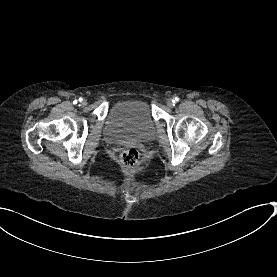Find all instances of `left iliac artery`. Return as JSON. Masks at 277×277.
<instances>
[{
	"label": "left iliac artery",
	"mask_w": 277,
	"mask_h": 277,
	"mask_svg": "<svg viewBox=\"0 0 277 277\" xmlns=\"http://www.w3.org/2000/svg\"><path fill=\"white\" fill-rule=\"evenodd\" d=\"M173 101H174V102H178V101H179V98L176 97Z\"/></svg>",
	"instance_id": "left-iliac-artery-1"
}]
</instances>
